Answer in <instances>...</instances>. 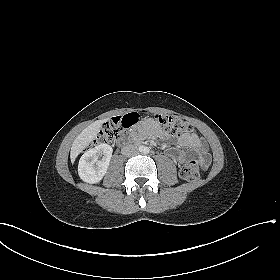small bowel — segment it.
Masks as SVG:
<instances>
[{"instance_id": "small-bowel-1", "label": "small bowel", "mask_w": 280, "mask_h": 280, "mask_svg": "<svg viewBox=\"0 0 280 280\" xmlns=\"http://www.w3.org/2000/svg\"><path fill=\"white\" fill-rule=\"evenodd\" d=\"M151 122L149 120L144 121V126H150ZM154 134L156 135H163L158 130L154 129ZM144 136V132H141L137 135V137L142 138ZM178 144L184 149H191L194 150L200 159V162L203 167H208L210 163V157L207 151V146L205 142L198 137L195 133L191 134H184L178 138ZM186 160L185 155H179L176 158L177 164H182Z\"/></svg>"}]
</instances>
